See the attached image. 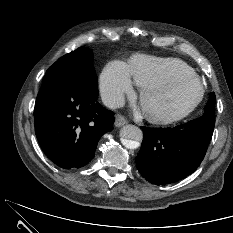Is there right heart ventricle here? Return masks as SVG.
Wrapping results in <instances>:
<instances>
[{
  "label": "right heart ventricle",
  "instance_id": "1",
  "mask_svg": "<svg viewBox=\"0 0 233 233\" xmlns=\"http://www.w3.org/2000/svg\"><path fill=\"white\" fill-rule=\"evenodd\" d=\"M127 69L131 79L139 87L173 76L194 73L192 67L182 60L142 54L134 55Z\"/></svg>",
  "mask_w": 233,
  "mask_h": 233
}]
</instances>
